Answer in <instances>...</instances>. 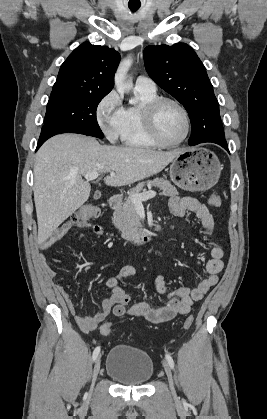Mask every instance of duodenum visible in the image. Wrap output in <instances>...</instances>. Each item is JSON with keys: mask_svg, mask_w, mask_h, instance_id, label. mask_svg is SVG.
Wrapping results in <instances>:
<instances>
[{"mask_svg": "<svg viewBox=\"0 0 267 419\" xmlns=\"http://www.w3.org/2000/svg\"><path fill=\"white\" fill-rule=\"evenodd\" d=\"M122 204V197L120 195L112 196L108 200L109 208L115 210L120 207ZM155 238V233L153 231H145L133 237H127L132 244L136 246L147 245L151 243Z\"/></svg>", "mask_w": 267, "mask_h": 419, "instance_id": "obj_1", "label": "duodenum"}]
</instances>
